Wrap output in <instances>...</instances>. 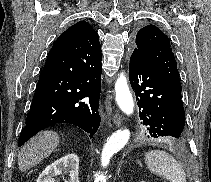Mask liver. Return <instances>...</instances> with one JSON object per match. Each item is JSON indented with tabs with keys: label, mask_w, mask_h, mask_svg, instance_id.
<instances>
[{
	"label": "liver",
	"mask_w": 211,
	"mask_h": 182,
	"mask_svg": "<svg viewBox=\"0 0 211 182\" xmlns=\"http://www.w3.org/2000/svg\"><path fill=\"white\" fill-rule=\"evenodd\" d=\"M59 144V135L53 131H43L31 138L18 155L19 170L25 172L46 158Z\"/></svg>",
	"instance_id": "obj_1"
}]
</instances>
